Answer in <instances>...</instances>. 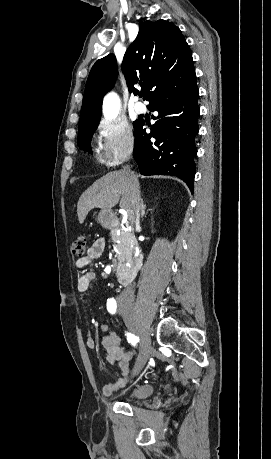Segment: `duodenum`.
Returning a JSON list of instances; mask_svg holds the SVG:
<instances>
[{
	"label": "duodenum",
	"instance_id": "410a0bca",
	"mask_svg": "<svg viewBox=\"0 0 271 459\" xmlns=\"http://www.w3.org/2000/svg\"><path fill=\"white\" fill-rule=\"evenodd\" d=\"M114 225H118L117 221L112 222ZM144 260V253L140 249L137 255L134 257L132 264L129 269L123 270L118 273L117 280L121 285H128L135 278L137 271L141 268Z\"/></svg>",
	"mask_w": 271,
	"mask_h": 459
}]
</instances>
